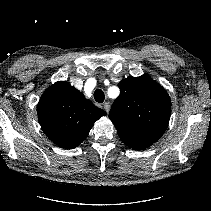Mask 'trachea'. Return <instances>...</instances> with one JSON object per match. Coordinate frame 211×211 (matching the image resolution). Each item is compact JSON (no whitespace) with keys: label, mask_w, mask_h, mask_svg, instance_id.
Returning a JSON list of instances; mask_svg holds the SVG:
<instances>
[{"label":"trachea","mask_w":211,"mask_h":211,"mask_svg":"<svg viewBox=\"0 0 211 211\" xmlns=\"http://www.w3.org/2000/svg\"><path fill=\"white\" fill-rule=\"evenodd\" d=\"M94 99L98 103H102L105 99L104 92L101 89H96L94 92Z\"/></svg>","instance_id":"1"}]
</instances>
